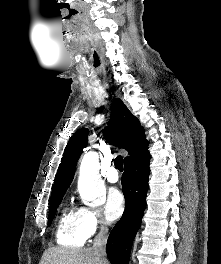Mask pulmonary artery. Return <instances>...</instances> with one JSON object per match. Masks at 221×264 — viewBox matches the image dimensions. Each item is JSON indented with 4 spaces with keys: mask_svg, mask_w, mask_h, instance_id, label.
<instances>
[{
    "mask_svg": "<svg viewBox=\"0 0 221 264\" xmlns=\"http://www.w3.org/2000/svg\"><path fill=\"white\" fill-rule=\"evenodd\" d=\"M106 179L111 182L115 183L119 179L118 171L114 166H110L106 172Z\"/></svg>",
    "mask_w": 221,
    "mask_h": 264,
    "instance_id": "e3ab8cb5",
    "label": "pulmonary artery"
}]
</instances>
